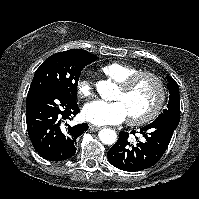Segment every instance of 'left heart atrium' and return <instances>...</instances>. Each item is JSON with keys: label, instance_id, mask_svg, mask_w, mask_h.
<instances>
[{"label": "left heart atrium", "instance_id": "obj_1", "mask_svg": "<svg viewBox=\"0 0 199 199\" xmlns=\"http://www.w3.org/2000/svg\"><path fill=\"white\" fill-rule=\"evenodd\" d=\"M82 115L88 122L102 126L118 124L124 121L127 117V112L121 101L94 100L83 107Z\"/></svg>", "mask_w": 199, "mask_h": 199}]
</instances>
